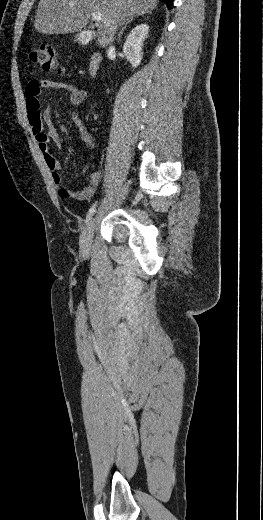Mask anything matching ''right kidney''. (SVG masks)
<instances>
[{
  "instance_id": "1",
  "label": "right kidney",
  "mask_w": 263,
  "mask_h": 520,
  "mask_svg": "<svg viewBox=\"0 0 263 520\" xmlns=\"http://www.w3.org/2000/svg\"><path fill=\"white\" fill-rule=\"evenodd\" d=\"M149 31L147 24L137 25L127 36L123 46V52L133 68L140 65L142 60V46Z\"/></svg>"
}]
</instances>
